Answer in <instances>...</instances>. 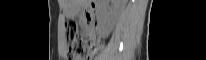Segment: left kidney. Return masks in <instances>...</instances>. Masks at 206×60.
I'll list each match as a JSON object with an SVG mask.
<instances>
[{
	"label": "left kidney",
	"instance_id": "1",
	"mask_svg": "<svg viewBox=\"0 0 206 60\" xmlns=\"http://www.w3.org/2000/svg\"><path fill=\"white\" fill-rule=\"evenodd\" d=\"M124 4L125 0H115V6L112 10L108 11L105 0L101 3V6L98 9V22L105 35H109L111 32Z\"/></svg>",
	"mask_w": 206,
	"mask_h": 60
}]
</instances>
